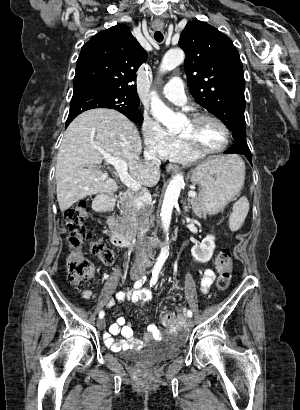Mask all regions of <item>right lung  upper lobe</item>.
Here are the masks:
<instances>
[{
	"mask_svg": "<svg viewBox=\"0 0 300 410\" xmlns=\"http://www.w3.org/2000/svg\"><path fill=\"white\" fill-rule=\"evenodd\" d=\"M147 53L126 25L118 24L94 35L81 48L76 63L74 84L89 83L125 96L139 106L136 71Z\"/></svg>",
	"mask_w": 300,
	"mask_h": 410,
	"instance_id": "obj_1",
	"label": "right lung upper lobe"
}]
</instances>
